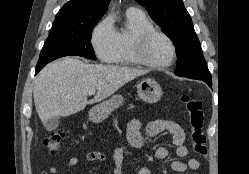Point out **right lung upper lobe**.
Here are the masks:
<instances>
[{
    "mask_svg": "<svg viewBox=\"0 0 249 174\" xmlns=\"http://www.w3.org/2000/svg\"><path fill=\"white\" fill-rule=\"evenodd\" d=\"M110 0H71L57 13L51 30L68 29L98 21Z\"/></svg>",
    "mask_w": 249,
    "mask_h": 174,
    "instance_id": "1",
    "label": "right lung upper lobe"
}]
</instances>
